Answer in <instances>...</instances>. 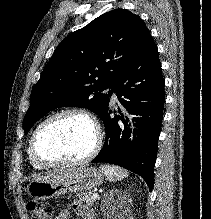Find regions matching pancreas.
I'll return each mask as SVG.
<instances>
[{
    "instance_id": "1",
    "label": "pancreas",
    "mask_w": 211,
    "mask_h": 219,
    "mask_svg": "<svg viewBox=\"0 0 211 219\" xmlns=\"http://www.w3.org/2000/svg\"><path fill=\"white\" fill-rule=\"evenodd\" d=\"M93 193L89 192V193H82V194H78L77 197L79 199V203L83 204L85 203L87 206H92L95 199H93L92 197Z\"/></svg>"
}]
</instances>
